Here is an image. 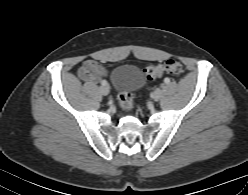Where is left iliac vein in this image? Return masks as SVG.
Listing matches in <instances>:
<instances>
[{"label": "left iliac vein", "mask_w": 248, "mask_h": 195, "mask_svg": "<svg viewBox=\"0 0 248 195\" xmlns=\"http://www.w3.org/2000/svg\"><path fill=\"white\" fill-rule=\"evenodd\" d=\"M152 98L155 101H158L161 98V90L160 89H156L153 94H152Z\"/></svg>", "instance_id": "1"}]
</instances>
